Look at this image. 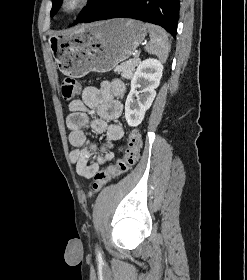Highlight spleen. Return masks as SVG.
Wrapping results in <instances>:
<instances>
[{
	"instance_id": "3e777b00",
	"label": "spleen",
	"mask_w": 247,
	"mask_h": 280,
	"mask_svg": "<svg viewBox=\"0 0 247 280\" xmlns=\"http://www.w3.org/2000/svg\"><path fill=\"white\" fill-rule=\"evenodd\" d=\"M149 30L150 41L145 47L149 54L156 55L161 61H166L170 52L168 35L159 26L150 23L145 24Z\"/></svg>"
}]
</instances>
